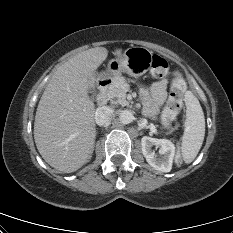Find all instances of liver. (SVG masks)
Here are the masks:
<instances>
[{
	"mask_svg": "<svg viewBox=\"0 0 233 233\" xmlns=\"http://www.w3.org/2000/svg\"><path fill=\"white\" fill-rule=\"evenodd\" d=\"M122 49L113 54L121 56ZM104 47L71 57L54 72L39 101L34 140L42 158L61 173H71L92 157L96 136L95 105L88 92L95 88L96 70L106 60Z\"/></svg>",
	"mask_w": 233,
	"mask_h": 233,
	"instance_id": "liver-1",
	"label": "liver"
}]
</instances>
